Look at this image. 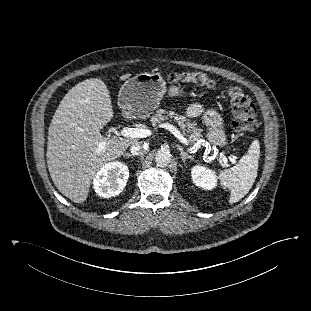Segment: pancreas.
Instances as JSON below:
<instances>
[{"instance_id":"1","label":"pancreas","mask_w":311,"mask_h":311,"mask_svg":"<svg viewBox=\"0 0 311 311\" xmlns=\"http://www.w3.org/2000/svg\"><path fill=\"white\" fill-rule=\"evenodd\" d=\"M172 118L183 130V133L186 134L189 143H196L202 137V130L196 128L195 123H192L190 120L186 119L185 116L178 115L174 111L157 110L151 117V123L153 126H157L162 121Z\"/></svg>"}]
</instances>
